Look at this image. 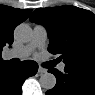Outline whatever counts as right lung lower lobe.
Returning <instances> with one entry per match:
<instances>
[{
	"mask_svg": "<svg viewBox=\"0 0 95 95\" xmlns=\"http://www.w3.org/2000/svg\"><path fill=\"white\" fill-rule=\"evenodd\" d=\"M38 64L27 60L15 65L0 66V95H21V86L26 78L36 74Z\"/></svg>",
	"mask_w": 95,
	"mask_h": 95,
	"instance_id": "right-lung-lower-lobe-1",
	"label": "right lung lower lobe"
}]
</instances>
